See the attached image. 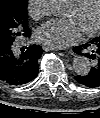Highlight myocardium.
Returning a JSON list of instances; mask_svg holds the SVG:
<instances>
[{
	"label": "myocardium",
	"instance_id": "myocardium-1",
	"mask_svg": "<svg viewBox=\"0 0 100 118\" xmlns=\"http://www.w3.org/2000/svg\"><path fill=\"white\" fill-rule=\"evenodd\" d=\"M71 2H72V5L74 7L79 8V7H81L83 5L85 0H72ZM98 2H99V17H98V21H97L96 25L93 28H91V29H89L87 31H84V35L85 36H88V37L94 36L100 30V0H98Z\"/></svg>",
	"mask_w": 100,
	"mask_h": 118
}]
</instances>
